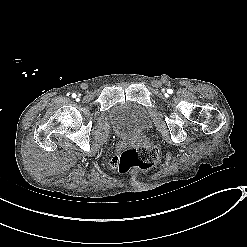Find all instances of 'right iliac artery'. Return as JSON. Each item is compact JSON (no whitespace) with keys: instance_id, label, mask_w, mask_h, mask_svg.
Returning a JSON list of instances; mask_svg holds the SVG:
<instances>
[{"instance_id":"obj_1","label":"right iliac artery","mask_w":247,"mask_h":247,"mask_svg":"<svg viewBox=\"0 0 247 247\" xmlns=\"http://www.w3.org/2000/svg\"><path fill=\"white\" fill-rule=\"evenodd\" d=\"M72 97H73V98H76V94H75V93H73V94H72Z\"/></svg>"}]
</instances>
